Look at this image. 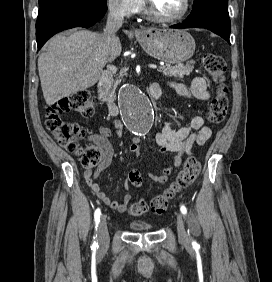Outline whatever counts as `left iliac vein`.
Here are the masks:
<instances>
[{
  "mask_svg": "<svg viewBox=\"0 0 272 282\" xmlns=\"http://www.w3.org/2000/svg\"><path fill=\"white\" fill-rule=\"evenodd\" d=\"M177 231H178V237L181 244L185 246L190 245V237L186 231L185 225H184V219L181 213L177 214Z\"/></svg>",
  "mask_w": 272,
  "mask_h": 282,
  "instance_id": "left-iliac-vein-1",
  "label": "left iliac vein"
}]
</instances>
